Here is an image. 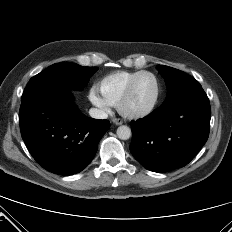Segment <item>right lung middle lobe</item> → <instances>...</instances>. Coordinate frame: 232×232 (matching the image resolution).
<instances>
[{
  "instance_id": "right-lung-middle-lobe-1",
  "label": "right lung middle lobe",
  "mask_w": 232,
  "mask_h": 232,
  "mask_svg": "<svg viewBox=\"0 0 232 232\" xmlns=\"http://www.w3.org/2000/svg\"><path fill=\"white\" fill-rule=\"evenodd\" d=\"M97 69L66 62L53 64L30 79L22 99L53 88L82 89Z\"/></svg>"
}]
</instances>
